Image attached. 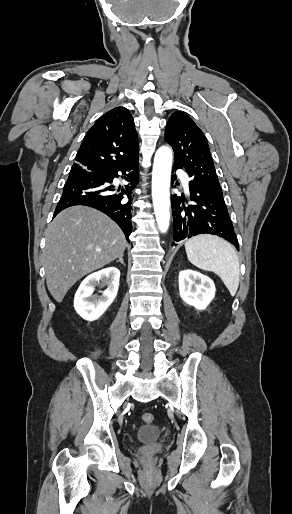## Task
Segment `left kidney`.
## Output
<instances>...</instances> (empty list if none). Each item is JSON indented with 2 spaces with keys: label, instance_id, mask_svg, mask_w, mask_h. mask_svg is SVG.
<instances>
[{
  "label": "left kidney",
  "instance_id": "1",
  "mask_svg": "<svg viewBox=\"0 0 292 514\" xmlns=\"http://www.w3.org/2000/svg\"><path fill=\"white\" fill-rule=\"evenodd\" d=\"M179 292L182 300L197 310H205L215 296L213 280L194 270L179 272Z\"/></svg>",
  "mask_w": 292,
  "mask_h": 514
}]
</instances>
